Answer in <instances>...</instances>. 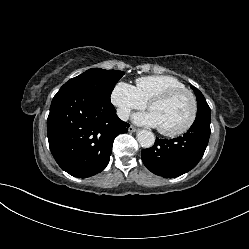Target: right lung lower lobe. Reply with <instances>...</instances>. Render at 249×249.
<instances>
[{
  "mask_svg": "<svg viewBox=\"0 0 249 249\" xmlns=\"http://www.w3.org/2000/svg\"><path fill=\"white\" fill-rule=\"evenodd\" d=\"M129 124L116 115L111 102L77 87H61L47 119L51 153L72 176L85 178L109 163L113 141Z\"/></svg>",
  "mask_w": 249,
  "mask_h": 249,
  "instance_id": "1",
  "label": "right lung lower lobe"
}]
</instances>
